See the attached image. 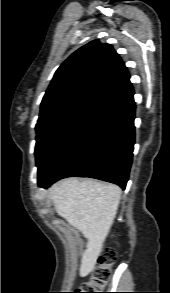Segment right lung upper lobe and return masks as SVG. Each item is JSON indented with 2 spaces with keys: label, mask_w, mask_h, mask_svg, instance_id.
<instances>
[{
  "label": "right lung upper lobe",
  "mask_w": 170,
  "mask_h": 293,
  "mask_svg": "<svg viewBox=\"0 0 170 293\" xmlns=\"http://www.w3.org/2000/svg\"><path fill=\"white\" fill-rule=\"evenodd\" d=\"M129 78L111 45L91 41L57 69L43 97L38 122L75 105L110 108L134 94Z\"/></svg>",
  "instance_id": "cb5924a9"
}]
</instances>
